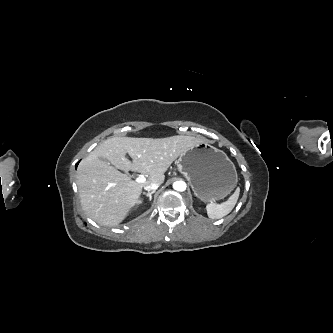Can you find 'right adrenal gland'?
Returning <instances> with one entry per match:
<instances>
[{"label": "right adrenal gland", "mask_w": 333, "mask_h": 333, "mask_svg": "<svg viewBox=\"0 0 333 333\" xmlns=\"http://www.w3.org/2000/svg\"><path fill=\"white\" fill-rule=\"evenodd\" d=\"M155 192H156V190H153V191L148 192V193L143 192V194H144L145 196L149 197V201H152V194H154Z\"/></svg>", "instance_id": "1"}]
</instances>
